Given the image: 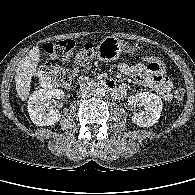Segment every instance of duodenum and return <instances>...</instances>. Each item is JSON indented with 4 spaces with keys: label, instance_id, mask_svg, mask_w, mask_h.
Segmentation results:
<instances>
[{
    "label": "duodenum",
    "instance_id": "410a0bca",
    "mask_svg": "<svg viewBox=\"0 0 195 195\" xmlns=\"http://www.w3.org/2000/svg\"><path fill=\"white\" fill-rule=\"evenodd\" d=\"M79 85L82 89L87 87H92V86L102 87L109 90L113 94L117 91V86L112 80H101V81L93 82L88 79H84L80 82Z\"/></svg>",
    "mask_w": 195,
    "mask_h": 195
}]
</instances>
